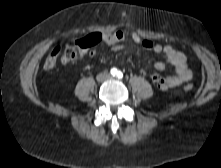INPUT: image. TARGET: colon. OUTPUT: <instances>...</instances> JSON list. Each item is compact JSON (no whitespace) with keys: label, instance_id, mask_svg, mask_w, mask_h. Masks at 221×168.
Masks as SVG:
<instances>
[{"label":"colon","instance_id":"obj_1","mask_svg":"<svg viewBox=\"0 0 221 168\" xmlns=\"http://www.w3.org/2000/svg\"><path fill=\"white\" fill-rule=\"evenodd\" d=\"M127 38L128 33L124 28L114 29L113 31L100 34H91L66 46L56 47L46 58L44 68L46 70H51L58 63H67L76 60L100 42L104 44H114L118 41H125ZM129 40L133 45H137L138 47H143L145 45V40L141 37L139 32H131L129 34ZM185 90L191 91L192 86H185Z\"/></svg>","mask_w":221,"mask_h":168}]
</instances>
